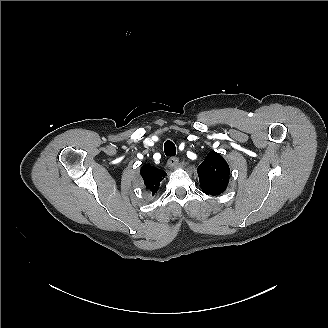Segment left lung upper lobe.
Returning <instances> with one entry per match:
<instances>
[{
    "mask_svg": "<svg viewBox=\"0 0 328 328\" xmlns=\"http://www.w3.org/2000/svg\"><path fill=\"white\" fill-rule=\"evenodd\" d=\"M197 173L200 187L205 194L219 195L226 190L230 169L220 154L210 152L197 168Z\"/></svg>",
    "mask_w": 328,
    "mask_h": 328,
    "instance_id": "1",
    "label": "left lung upper lobe"
}]
</instances>
